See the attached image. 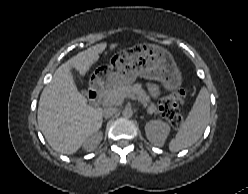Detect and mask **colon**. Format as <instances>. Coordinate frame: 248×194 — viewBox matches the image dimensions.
Returning a JSON list of instances; mask_svg holds the SVG:
<instances>
[{
  "label": "colon",
  "instance_id": "colon-1",
  "mask_svg": "<svg viewBox=\"0 0 248 194\" xmlns=\"http://www.w3.org/2000/svg\"><path fill=\"white\" fill-rule=\"evenodd\" d=\"M189 90L178 88L173 90L169 95L164 97L160 102V112L175 128H179L184 116L180 112V106L184 103Z\"/></svg>",
  "mask_w": 248,
  "mask_h": 194
}]
</instances>
